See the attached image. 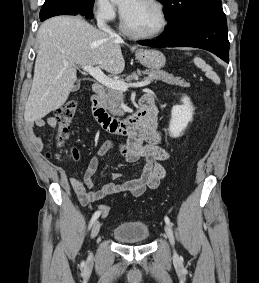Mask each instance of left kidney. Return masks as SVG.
I'll return each mask as SVG.
<instances>
[{"label":"left kidney","instance_id":"5707ae66","mask_svg":"<svg viewBox=\"0 0 259 283\" xmlns=\"http://www.w3.org/2000/svg\"><path fill=\"white\" fill-rule=\"evenodd\" d=\"M181 105H176L171 110V120L169 123V135L172 138H178L193 119L194 108L190 98L184 96Z\"/></svg>","mask_w":259,"mask_h":283}]
</instances>
